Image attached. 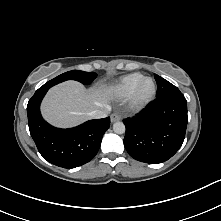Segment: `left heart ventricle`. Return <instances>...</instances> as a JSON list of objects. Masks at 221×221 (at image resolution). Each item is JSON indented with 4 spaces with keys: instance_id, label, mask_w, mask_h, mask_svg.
I'll return each instance as SVG.
<instances>
[{
    "instance_id": "b2bd125f",
    "label": "left heart ventricle",
    "mask_w": 221,
    "mask_h": 221,
    "mask_svg": "<svg viewBox=\"0 0 221 221\" xmlns=\"http://www.w3.org/2000/svg\"><path fill=\"white\" fill-rule=\"evenodd\" d=\"M151 89H152V83L150 81H147L142 86L141 94L143 96L148 95L150 93Z\"/></svg>"
}]
</instances>
